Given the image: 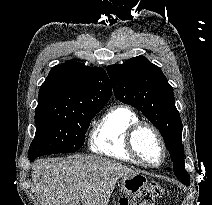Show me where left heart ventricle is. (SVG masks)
Here are the masks:
<instances>
[{
	"mask_svg": "<svg viewBox=\"0 0 212 205\" xmlns=\"http://www.w3.org/2000/svg\"><path fill=\"white\" fill-rule=\"evenodd\" d=\"M138 150L147 160L158 162L161 158V149L154 136L147 130L142 131L137 139Z\"/></svg>",
	"mask_w": 212,
	"mask_h": 205,
	"instance_id": "left-heart-ventricle-1",
	"label": "left heart ventricle"
}]
</instances>
